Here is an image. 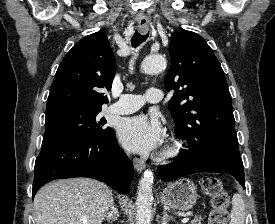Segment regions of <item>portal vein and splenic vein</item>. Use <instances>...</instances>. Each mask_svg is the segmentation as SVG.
<instances>
[{
    "label": "portal vein and splenic vein",
    "instance_id": "portal-vein-and-splenic-vein-1",
    "mask_svg": "<svg viewBox=\"0 0 275 224\" xmlns=\"http://www.w3.org/2000/svg\"><path fill=\"white\" fill-rule=\"evenodd\" d=\"M188 221H189V217H185V218L182 219L181 222L184 224V223H187Z\"/></svg>",
    "mask_w": 275,
    "mask_h": 224
}]
</instances>
